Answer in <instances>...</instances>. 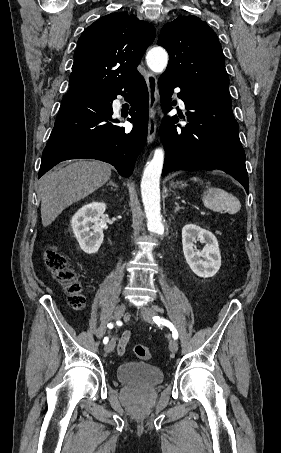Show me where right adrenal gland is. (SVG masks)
<instances>
[{
  "label": "right adrenal gland",
  "instance_id": "right-adrenal-gland-1",
  "mask_svg": "<svg viewBox=\"0 0 281 453\" xmlns=\"http://www.w3.org/2000/svg\"><path fill=\"white\" fill-rule=\"evenodd\" d=\"M108 184H111L112 188L113 186H115V188H118V184H116V182H113V180H109ZM107 184V186H108Z\"/></svg>",
  "mask_w": 281,
  "mask_h": 453
}]
</instances>
